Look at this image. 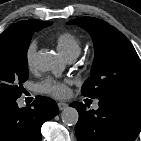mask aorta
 Returning a JSON list of instances; mask_svg holds the SVG:
<instances>
[{
    "mask_svg": "<svg viewBox=\"0 0 141 141\" xmlns=\"http://www.w3.org/2000/svg\"><path fill=\"white\" fill-rule=\"evenodd\" d=\"M34 65L41 71H51L57 67V60L50 51L42 50L35 55ZM78 118V111L74 107H67L61 113L62 122L68 126L75 125Z\"/></svg>",
    "mask_w": 141,
    "mask_h": 141,
    "instance_id": "762f6f07",
    "label": "aorta"
}]
</instances>
